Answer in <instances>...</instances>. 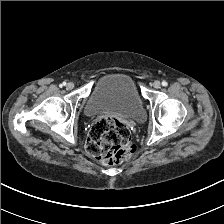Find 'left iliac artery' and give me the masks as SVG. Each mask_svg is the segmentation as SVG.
I'll return each instance as SVG.
<instances>
[{
	"label": "left iliac artery",
	"instance_id": "1",
	"mask_svg": "<svg viewBox=\"0 0 224 224\" xmlns=\"http://www.w3.org/2000/svg\"><path fill=\"white\" fill-rule=\"evenodd\" d=\"M168 85V83L166 82V81H162V86H167Z\"/></svg>",
	"mask_w": 224,
	"mask_h": 224
}]
</instances>
